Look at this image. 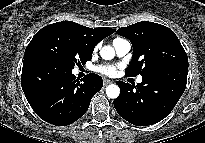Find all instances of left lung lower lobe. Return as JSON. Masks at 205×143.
<instances>
[{
  "label": "left lung lower lobe",
  "mask_w": 205,
  "mask_h": 143,
  "mask_svg": "<svg viewBox=\"0 0 205 143\" xmlns=\"http://www.w3.org/2000/svg\"><path fill=\"white\" fill-rule=\"evenodd\" d=\"M188 65L155 68L142 76L137 86L118 81L120 95L113 102L117 113L137 126L163 120L182 96L187 83Z\"/></svg>",
  "instance_id": "left-lung-lower-lobe-1"
}]
</instances>
